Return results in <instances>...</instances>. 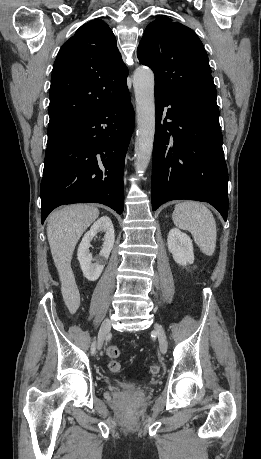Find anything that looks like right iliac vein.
<instances>
[{"label": "right iliac vein", "mask_w": 261, "mask_h": 459, "mask_svg": "<svg viewBox=\"0 0 261 459\" xmlns=\"http://www.w3.org/2000/svg\"><path fill=\"white\" fill-rule=\"evenodd\" d=\"M111 329V321L110 319H105L100 327L99 334H98V340H97V349L101 350L103 347L104 340L106 338V335Z\"/></svg>", "instance_id": "1"}]
</instances>
